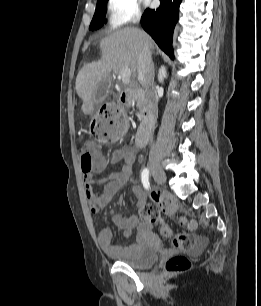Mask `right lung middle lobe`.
<instances>
[{"instance_id": "right-lung-middle-lobe-1", "label": "right lung middle lobe", "mask_w": 261, "mask_h": 306, "mask_svg": "<svg viewBox=\"0 0 261 306\" xmlns=\"http://www.w3.org/2000/svg\"><path fill=\"white\" fill-rule=\"evenodd\" d=\"M108 0H97V7L93 19L91 21L90 30L100 28L105 22L106 4Z\"/></svg>"}]
</instances>
